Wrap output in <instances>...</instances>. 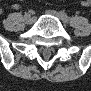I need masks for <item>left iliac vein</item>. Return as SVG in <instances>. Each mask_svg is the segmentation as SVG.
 I'll return each mask as SVG.
<instances>
[{
	"mask_svg": "<svg viewBox=\"0 0 91 91\" xmlns=\"http://www.w3.org/2000/svg\"><path fill=\"white\" fill-rule=\"evenodd\" d=\"M47 13L54 16V17H56V18H58V19H60V20H63L60 13H58V12H56L54 10H48Z\"/></svg>",
	"mask_w": 91,
	"mask_h": 91,
	"instance_id": "1",
	"label": "left iliac vein"
}]
</instances>
